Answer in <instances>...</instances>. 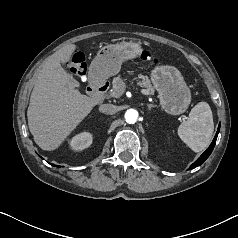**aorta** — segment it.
Listing matches in <instances>:
<instances>
[{"label": "aorta", "mask_w": 238, "mask_h": 238, "mask_svg": "<svg viewBox=\"0 0 238 238\" xmlns=\"http://www.w3.org/2000/svg\"><path fill=\"white\" fill-rule=\"evenodd\" d=\"M125 121L129 124H134L138 119V111L135 109H128L125 112Z\"/></svg>", "instance_id": "aorta-1"}]
</instances>
